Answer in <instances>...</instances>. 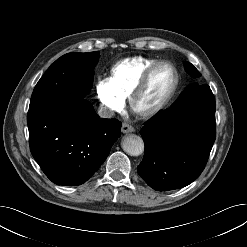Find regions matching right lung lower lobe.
Wrapping results in <instances>:
<instances>
[{"label": "right lung lower lobe", "instance_id": "98d812e1", "mask_svg": "<svg viewBox=\"0 0 247 247\" xmlns=\"http://www.w3.org/2000/svg\"><path fill=\"white\" fill-rule=\"evenodd\" d=\"M30 150L46 176L57 185L86 182L120 137L121 123L100 118L84 98H51L29 106Z\"/></svg>", "mask_w": 247, "mask_h": 247}]
</instances>
